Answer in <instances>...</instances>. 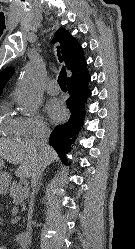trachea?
<instances>
[{
  "label": "trachea",
  "instance_id": "trachea-1",
  "mask_svg": "<svg viewBox=\"0 0 135 249\" xmlns=\"http://www.w3.org/2000/svg\"><path fill=\"white\" fill-rule=\"evenodd\" d=\"M57 54H58L59 61L62 62V58H61V55H60V49H59V47L57 49ZM66 77H67L66 71H65L64 68H62V70H61V72L59 74V77H58V83H59V85H60V87L62 89H67V87H66Z\"/></svg>",
  "mask_w": 135,
  "mask_h": 249
}]
</instances>
